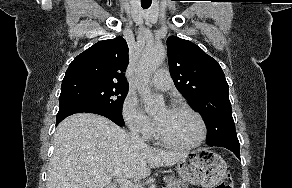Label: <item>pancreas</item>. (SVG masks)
<instances>
[{
	"label": "pancreas",
	"instance_id": "1",
	"mask_svg": "<svg viewBox=\"0 0 292 188\" xmlns=\"http://www.w3.org/2000/svg\"><path fill=\"white\" fill-rule=\"evenodd\" d=\"M168 181L167 188H187V183L175 176L166 177Z\"/></svg>",
	"mask_w": 292,
	"mask_h": 188
}]
</instances>
